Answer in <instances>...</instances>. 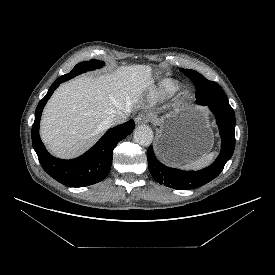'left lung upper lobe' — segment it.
<instances>
[{
    "label": "left lung upper lobe",
    "mask_w": 275,
    "mask_h": 275,
    "mask_svg": "<svg viewBox=\"0 0 275 275\" xmlns=\"http://www.w3.org/2000/svg\"><path fill=\"white\" fill-rule=\"evenodd\" d=\"M180 71L194 82L198 101L206 98L212 101L229 104L225 93L216 82L207 80L203 75L194 70L180 69Z\"/></svg>",
    "instance_id": "left-lung-upper-lobe-1"
}]
</instances>
